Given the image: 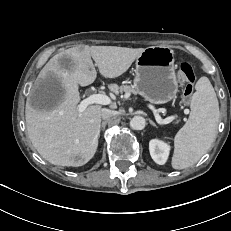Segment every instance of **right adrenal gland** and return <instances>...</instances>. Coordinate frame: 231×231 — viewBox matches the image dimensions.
Returning <instances> with one entry per match:
<instances>
[{"label": "right adrenal gland", "instance_id": "right-adrenal-gland-1", "mask_svg": "<svg viewBox=\"0 0 231 231\" xmlns=\"http://www.w3.org/2000/svg\"><path fill=\"white\" fill-rule=\"evenodd\" d=\"M109 120H105L101 123V129L104 130L106 127V124L108 123Z\"/></svg>", "mask_w": 231, "mask_h": 231}]
</instances>
